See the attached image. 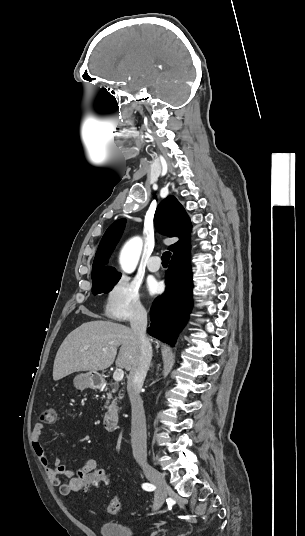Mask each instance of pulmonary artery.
<instances>
[{
  "instance_id": "obj_1",
  "label": "pulmonary artery",
  "mask_w": 305,
  "mask_h": 536,
  "mask_svg": "<svg viewBox=\"0 0 305 536\" xmlns=\"http://www.w3.org/2000/svg\"><path fill=\"white\" fill-rule=\"evenodd\" d=\"M160 260H161V257L159 254L157 253L151 254L149 257V261L147 263L148 269L151 272H157L161 267V265L159 264Z\"/></svg>"
}]
</instances>
